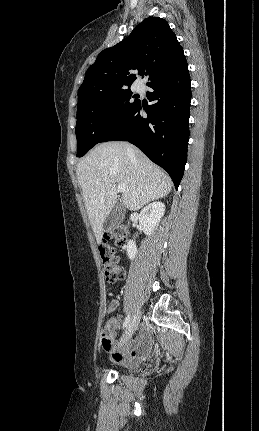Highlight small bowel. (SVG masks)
I'll return each mask as SVG.
<instances>
[{"mask_svg":"<svg viewBox=\"0 0 259 431\" xmlns=\"http://www.w3.org/2000/svg\"><path fill=\"white\" fill-rule=\"evenodd\" d=\"M118 301L113 300L108 305V310L113 311L118 306ZM117 321L113 319V325L108 328V336L110 339V344L108 346H104L103 348L106 351H111L113 346H119L120 344L115 342V331L114 327L116 326ZM150 344L149 334L143 329L138 339L132 340L124 345L120 351L113 354V358L116 362L122 363H131L139 358L145 356L148 351Z\"/></svg>","mask_w":259,"mask_h":431,"instance_id":"1","label":"small bowel"}]
</instances>
